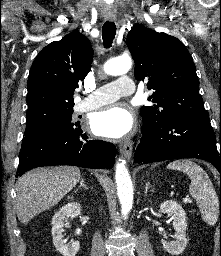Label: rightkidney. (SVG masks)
I'll list each match as a JSON object with an SVG mask.
<instances>
[{
	"instance_id": "obj_1",
	"label": "right kidney",
	"mask_w": 221,
	"mask_h": 256,
	"mask_svg": "<svg viewBox=\"0 0 221 256\" xmlns=\"http://www.w3.org/2000/svg\"><path fill=\"white\" fill-rule=\"evenodd\" d=\"M80 214V204L73 202L61 207L52 218L53 244L56 250L59 251L60 254H62L63 256H75L76 253L79 251V241H73L71 246L67 247L63 239L64 236L62 233L64 231V221H67L69 217L73 218Z\"/></svg>"
}]
</instances>
